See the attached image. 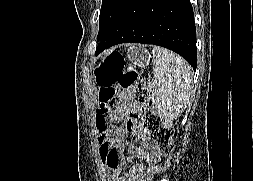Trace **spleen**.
Masks as SVG:
<instances>
[{
    "label": "spleen",
    "instance_id": "spleen-1",
    "mask_svg": "<svg viewBox=\"0 0 253 181\" xmlns=\"http://www.w3.org/2000/svg\"><path fill=\"white\" fill-rule=\"evenodd\" d=\"M154 67L149 89L155 94L153 109L164 119H177L192 89L191 67L179 55L159 46L152 50Z\"/></svg>",
    "mask_w": 253,
    "mask_h": 181
}]
</instances>
